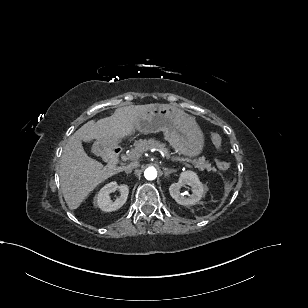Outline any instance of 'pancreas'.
Instances as JSON below:
<instances>
[{
	"mask_svg": "<svg viewBox=\"0 0 308 308\" xmlns=\"http://www.w3.org/2000/svg\"><path fill=\"white\" fill-rule=\"evenodd\" d=\"M152 148L163 151L165 154L168 155V149L166 148V145L164 143H160L159 141L153 138H150L148 140L140 139L138 141H135L134 148L124 157V159L135 161L139 157L141 152L150 150ZM192 163L195 164L196 167L201 170H204V169L213 170V168L211 167V164L205 161L204 158L194 159L192 160Z\"/></svg>",
	"mask_w": 308,
	"mask_h": 308,
	"instance_id": "1",
	"label": "pancreas"
}]
</instances>
